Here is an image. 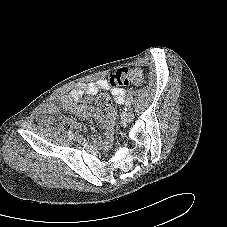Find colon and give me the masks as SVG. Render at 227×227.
Listing matches in <instances>:
<instances>
[{
	"instance_id": "obj_1",
	"label": "colon",
	"mask_w": 227,
	"mask_h": 227,
	"mask_svg": "<svg viewBox=\"0 0 227 227\" xmlns=\"http://www.w3.org/2000/svg\"><path fill=\"white\" fill-rule=\"evenodd\" d=\"M144 81V75L140 69L121 68L109 75L111 87L119 89L121 86L130 84L140 85ZM112 106L110 97L107 94H101L97 98V109L101 113H106Z\"/></svg>"
}]
</instances>
